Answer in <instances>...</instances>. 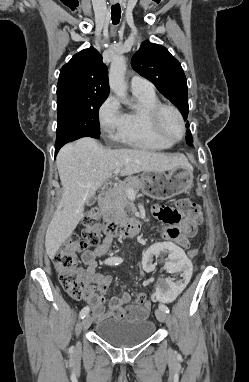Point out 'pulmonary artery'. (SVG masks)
I'll return each mask as SVG.
<instances>
[{"label": "pulmonary artery", "mask_w": 249, "mask_h": 382, "mask_svg": "<svg viewBox=\"0 0 249 382\" xmlns=\"http://www.w3.org/2000/svg\"><path fill=\"white\" fill-rule=\"evenodd\" d=\"M130 88L132 92L154 93L153 84L140 76H133L131 78Z\"/></svg>", "instance_id": "pulmonary-artery-1"}]
</instances>
